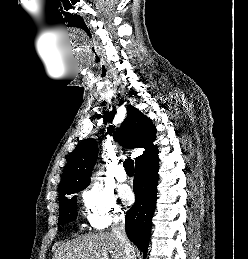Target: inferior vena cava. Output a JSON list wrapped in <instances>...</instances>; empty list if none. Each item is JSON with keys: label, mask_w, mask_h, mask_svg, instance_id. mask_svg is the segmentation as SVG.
<instances>
[{"label": "inferior vena cava", "mask_w": 248, "mask_h": 259, "mask_svg": "<svg viewBox=\"0 0 248 259\" xmlns=\"http://www.w3.org/2000/svg\"><path fill=\"white\" fill-rule=\"evenodd\" d=\"M112 233L122 244L124 248L125 259H136L134 249L131 246L126 236L124 214H119L114 217V223L112 225Z\"/></svg>", "instance_id": "inferior-vena-cava-1"}]
</instances>
